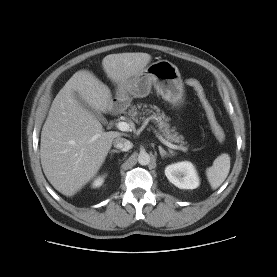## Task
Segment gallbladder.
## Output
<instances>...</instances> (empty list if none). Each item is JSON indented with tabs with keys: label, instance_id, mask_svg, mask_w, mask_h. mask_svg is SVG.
<instances>
[{
	"label": "gallbladder",
	"instance_id": "bac80fb5",
	"mask_svg": "<svg viewBox=\"0 0 277 277\" xmlns=\"http://www.w3.org/2000/svg\"><path fill=\"white\" fill-rule=\"evenodd\" d=\"M75 99L78 101V103L88 110L90 113H92L101 123L106 124L107 120L97 111L92 109L80 96L78 93H75Z\"/></svg>",
	"mask_w": 277,
	"mask_h": 277
}]
</instances>
